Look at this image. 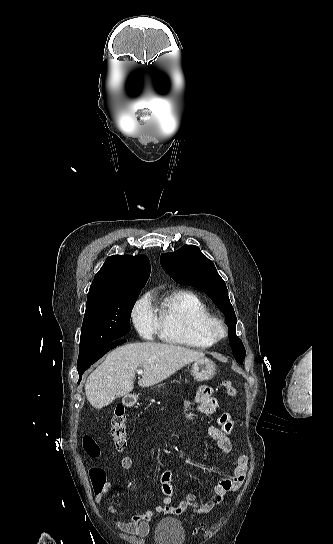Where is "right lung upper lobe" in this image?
Instances as JSON below:
<instances>
[{"label":"right lung upper lobe","mask_w":333,"mask_h":544,"mask_svg":"<svg viewBox=\"0 0 333 544\" xmlns=\"http://www.w3.org/2000/svg\"><path fill=\"white\" fill-rule=\"evenodd\" d=\"M150 270V262L145 255L108 257L94 277L87 294V302L141 291L149 278Z\"/></svg>","instance_id":"right-lung-upper-lobe-1"}]
</instances>
